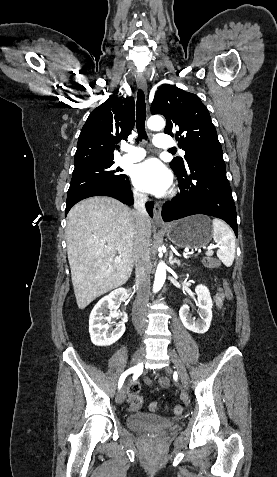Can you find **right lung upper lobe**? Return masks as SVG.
I'll use <instances>...</instances> for the list:
<instances>
[{"label":"right lung upper lobe","mask_w":277,"mask_h":477,"mask_svg":"<svg viewBox=\"0 0 277 477\" xmlns=\"http://www.w3.org/2000/svg\"><path fill=\"white\" fill-rule=\"evenodd\" d=\"M134 109L132 97L114 95L95 108L79 135L74 166L113 161L115 144L126 140L134 127Z\"/></svg>","instance_id":"right-lung-upper-lobe-1"}]
</instances>
